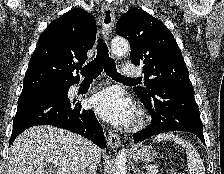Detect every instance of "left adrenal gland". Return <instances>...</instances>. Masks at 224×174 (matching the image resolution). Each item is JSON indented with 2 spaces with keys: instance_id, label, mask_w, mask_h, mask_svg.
Segmentation results:
<instances>
[{
  "instance_id": "left-adrenal-gland-1",
  "label": "left adrenal gland",
  "mask_w": 224,
  "mask_h": 174,
  "mask_svg": "<svg viewBox=\"0 0 224 174\" xmlns=\"http://www.w3.org/2000/svg\"><path fill=\"white\" fill-rule=\"evenodd\" d=\"M134 172H135L136 174H145V173L141 172L139 168H136V169L134 170ZM146 174H147V173H146Z\"/></svg>"
}]
</instances>
